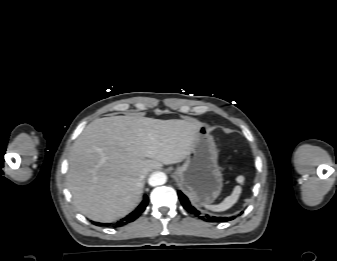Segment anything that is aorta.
I'll list each match as a JSON object with an SVG mask.
<instances>
[{
    "mask_svg": "<svg viewBox=\"0 0 337 261\" xmlns=\"http://www.w3.org/2000/svg\"><path fill=\"white\" fill-rule=\"evenodd\" d=\"M166 181H167V176L163 172H155L148 179L149 185L153 187L163 185L166 183Z\"/></svg>",
    "mask_w": 337,
    "mask_h": 261,
    "instance_id": "aorta-1",
    "label": "aorta"
}]
</instances>
